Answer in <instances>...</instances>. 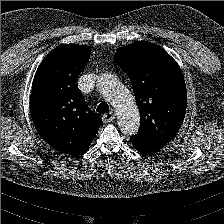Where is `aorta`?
Returning a JSON list of instances; mask_svg holds the SVG:
<instances>
[{"label":"aorta","mask_w":224,"mask_h":224,"mask_svg":"<svg viewBox=\"0 0 224 224\" xmlns=\"http://www.w3.org/2000/svg\"><path fill=\"white\" fill-rule=\"evenodd\" d=\"M97 84L116 110L121 132L124 134H135L140 125V116L136 102L130 91L111 74L101 75Z\"/></svg>","instance_id":"1"}]
</instances>
